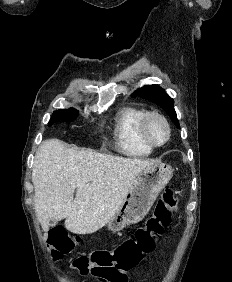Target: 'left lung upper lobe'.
I'll return each instance as SVG.
<instances>
[{
    "instance_id": "5c2ea615",
    "label": "left lung upper lobe",
    "mask_w": 232,
    "mask_h": 282,
    "mask_svg": "<svg viewBox=\"0 0 232 282\" xmlns=\"http://www.w3.org/2000/svg\"><path fill=\"white\" fill-rule=\"evenodd\" d=\"M132 97H142L161 106L162 109L170 116L177 128H180L179 122L174 109V100L165 93V90L158 85H146L136 90Z\"/></svg>"
}]
</instances>
